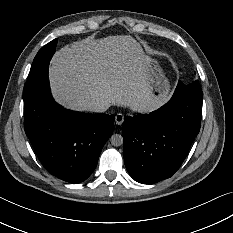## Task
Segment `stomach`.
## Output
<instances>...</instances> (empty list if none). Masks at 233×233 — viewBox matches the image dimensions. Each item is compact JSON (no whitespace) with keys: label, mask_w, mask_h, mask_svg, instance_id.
Masks as SVG:
<instances>
[{"label":"stomach","mask_w":233,"mask_h":233,"mask_svg":"<svg viewBox=\"0 0 233 233\" xmlns=\"http://www.w3.org/2000/svg\"><path fill=\"white\" fill-rule=\"evenodd\" d=\"M140 55L143 58L144 74L152 95L158 98L162 103L167 100L169 94V84L165 79L162 69L155 58L147 54L139 46Z\"/></svg>","instance_id":"1"}]
</instances>
